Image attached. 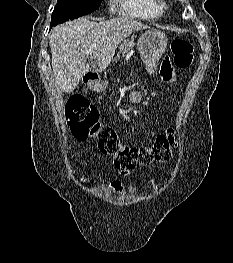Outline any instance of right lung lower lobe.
Returning a JSON list of instances; mask_svg holds the SVG:
<instances>
[{
  "instance_id": "right-lung-lower-lobe-1",
  "label": "right lung lower lobe",
  "mask_w": 233,
  "mask_h": 263,
  "mask_svg": "<svg viewBox=\"0 0 233 263\" xmlns=\"http://www.w3.org/2000/svg\"><path fill=\"white\" fill-rule=\"evenodd\" d=\"M52 26H55V24H52V23H51V27H52Z\"/></svg>"
}]
</instances>
